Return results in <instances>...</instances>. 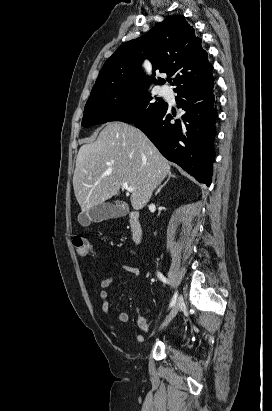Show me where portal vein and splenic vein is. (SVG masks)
<instances>
[{
	"mask_svg": "<svg viewBox=\"0 0 272 411\" xmlns=\"http://www.w3.org/2000/svg\"><path fill=\"white\" fill-rule=\"evenodd\" d=\"M122 188L130 192L135 189L134 187L129 186L127 183H123Z\"/></svg>",
	"mask_w": 272,
	"mask_h": 411,
	"instance_id": "1",
	"label": "portal vein and splenic vein"
}]
</instances>
